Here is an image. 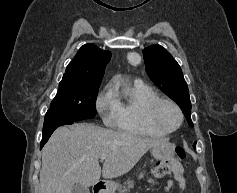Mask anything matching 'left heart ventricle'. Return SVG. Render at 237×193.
Listing matches in <instances>:
<instances>
[{"mask_svg":"<svg viewBox=\"0 0 237 193\" xmlns=\"http://www.w3.org/2000/svg\"><path fill=\"white\" fill-rule=\"evenodd\" d=\"M158 118L163 125L169 128H174L179 123L178 113L172 106L168 104L161 106L158 112Z\"/></svg>","mask_w":237,"mask_h":193,"instance_id":"b2bd125f","label":"left heart ventricle"}]
</instances>
